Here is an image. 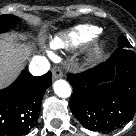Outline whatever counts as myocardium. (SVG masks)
<instances>
[{
	"label": "myocardium",
	"mask_w": 136,
	"mask_h": 136,
	"mask_svg": "<svg viewBox=\"0 0 136 136\" xmlns=\"http://www.w3.org/2000/svg\"><path fill=\"white\" fill-rule=\"evenodd\" d=\"M106 49H107V41L105 40L97 41L89 50L86 59V65L94 66L98 64L102 60Z\"/></svg>",
	"instance_id": "1"
}]
</instances>
